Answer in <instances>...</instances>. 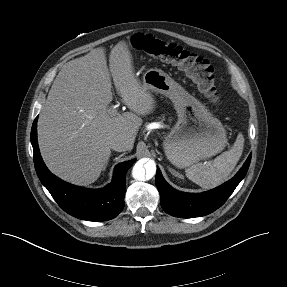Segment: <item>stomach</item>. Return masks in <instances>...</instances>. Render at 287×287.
Instances as JSON below:
<instances>
[{
    "mask_svg": "<svg viewBox=\"0 0 287 287\" xmlns=\"http://www.w3.org/2000/svg\"><path fill=\"white\" fill-rule=\"evenodd\" d=\"M143 86L168 97L174 104L178 120L165 136L163 149L167 159L178 168L214 156L226 144V130L207 107L160 69L143 74Z\"/></svg>",
    "mask_w": 287,
    "mask_h": 287,
    "instance_id": "1",
    "label": "stomach"
}]
</instances>
